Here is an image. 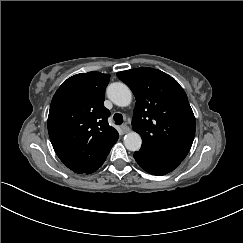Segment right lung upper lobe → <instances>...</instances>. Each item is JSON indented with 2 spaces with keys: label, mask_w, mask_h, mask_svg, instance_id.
Here are the masks:
<instances>
[{
  "label": "right lung upper lobe",
  "mask_w": 243,
  "mask_h": 243,
  "mask_svg": "<svg viewBox=\"0 0 243 243\" xmlns=\"http://www.w3.org/2000/svg\"><path fill=\"white\" fill-rule=\"evenodd\" d=\"M110 75L77 74L67 79L53 96L48 132L60 160L72 171L92 170L110 152L118 132L107 122L105 89Z\"/></svg>",
  "instance_id": "right-lung-upper-lobe-1"
}]
</instances>
